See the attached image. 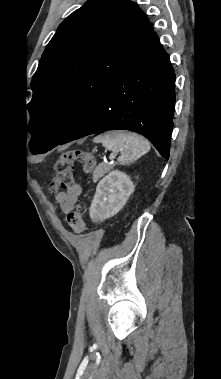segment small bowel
<instances>
[{
  "label": "small bowel",
  "instance_id": "c3829d8e",
  "mask_svg": "<svg viewBox=\"0 0 221 379\" xmlns=\"http://www.w3.org/2000/svg\"><path fill=\"white\" fill-rule=\"evenodd\" d=\"M81 192L82 188L77 183L58 195L57 192H54V195H57L56 199L63 213L69 214L74 210Z\"/></svg>",
  "mask_w": 221,
  "mask_h": 379
}]
</instances>
